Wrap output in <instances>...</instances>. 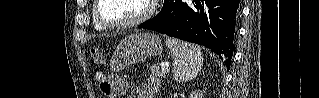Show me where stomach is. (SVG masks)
I'll return each instance as SVG.
<instances>
[{
  "label": "stomach",
  "instance_id": "1",
  "mask_svg": "<svg viewBox=\"0 0 319 98\" xmlns=\"http://www.w3.org/2000/svg\"><path fill=\"white\" fill-rule=\"evenodd\" d=\"M162 43L154 33H135L125 37L114 52L111 67L120 71L127 66L162 53Z\"/></svg>",
  "mask_w": 319,
  "mask_h": 98
}]
</instances>
